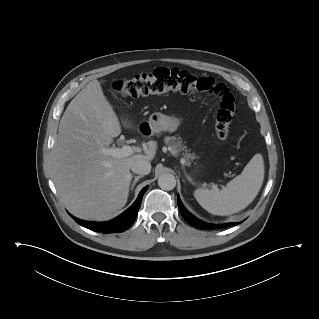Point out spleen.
Instances as JSON below:
<instances>
[{
	"label": "spleen",
	"instance_id": "1",
	"mask_svg": "<svg viewBox=\"0 0 319 319\" xmlns=\"http://www.w3.org/2000/svg\"><path fill=\"white\" fill-rule=\"evenodd\" d=\"M263 180L264 161L258 153L222 190L196 189L194 197L213 215H231L245 209L256 198Z\"/></svg>",
	"mask_w": 319,
	"mask_h": 319
}]
</instances>
